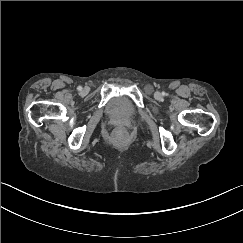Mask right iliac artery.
<instances>
[{"instance_id": "right-iliac-artery-1", "label": "right iliac artery", "mask_w": 243, "mask_h": 243, "mask_svg": "<svg viewBox=\"0 0 243 243\" xmlns=\"http://www.w3.org/2000/svg\"><path fill=\"white\" fill-rule=\"evenodd\" d=\"M77 90H78V91H81V90H82V87H81V86H78V87H77Z\"/></svg>"}]
</instances>
